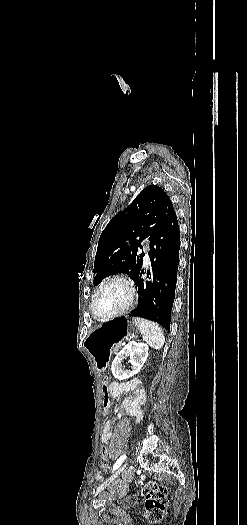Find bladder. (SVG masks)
<instances>
[{
    "mask_svg": "<svg viewBox=\"0 0 247 525\" xmlns=\"http://www.w3.org/2000/svg\"><path fill=\"white\" fill-rule=\"evenodd\" d=\"M111 502L120 504L123 506H129L132 504V499L128 496H123L120 502H118L115 498L111 499Z\"/></svg>",
    "mask_w": 247,
    "mask_h": 525,
    "instance_id": "31cf9c89",
    "label": "bladder"
}]
</instances>
